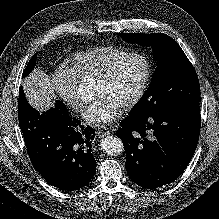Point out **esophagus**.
<instances>
[{"label": "esophagus", "mask_w": 219, "mask_h": 219, "mask_svg": "<svg viewBox=\"0 0 219 219\" xmlns=\"http://www.w3.org/2000/svg\"><path fill=\"white\" fill-rule=\"evenodd\" d=\"M110 128L107 126H100L97 129V133L99 134V136H106L108 134H110Z\"/></svg>", "instance_id": "esophagus-1"}]
</instances>
